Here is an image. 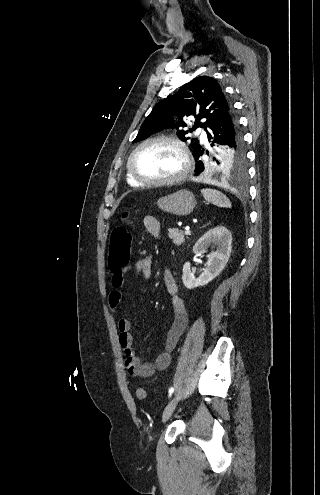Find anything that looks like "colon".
Instances as JSON below:
<instances>
[{
    "mask_svg": "<svg viewBox=\"0 0 320 495\" xmlns=\"http://www.w3.org/2000/svg\"><path fill=\"white\" fill-rule=\"evenodd\" d=\"M132 235L124 226H116L109 238V266L113 272H119L130 262ZM139 400L147 399V392L143 387L136 390Z\"/></svg>",
    "mask_w": 320,
    "mask_h": 495,
    "instance_id": "1",
    "label": "colon"
}]
</instances>
